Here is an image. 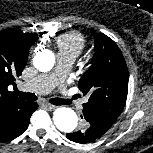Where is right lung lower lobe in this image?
<instances>
[{
    "label": "right lung lower lobe",
    "instance_id": "1",
    "mask_svg": "<svg viewBox=\"0 0 153 153\" xmlns=\"http://www.w3.org/2000/svg\"><path fill=\"white\" fill-rule=\"evenodd\" d=\"M38 108L36 102H26L15 109L0 126V141L20 136L28 127L32 113Z\"/></svg>",
    "mask_w": 153,
    "mask_h": 153
}]
</instances>
